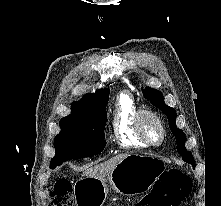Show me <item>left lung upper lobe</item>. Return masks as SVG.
<instances>
[{"instance_id":"left-lung-upper-lobe-1","label":"left lung upper lobe","mask_w":221,"mask_h":206,"mask_svg":"<svg viewBox=\"0 0 221 206\" xmlns=\"http://www.w3.org/2000/svg\"><path fill=\"white\" fill-rule=\"evenodd\" d=\"M143 90V95L147 100H150V102L159 108L163 113H165L169 120V128L171 129V132L176 138L177 143V151L182 156V159L184 162H187L195 168V162L194 158L192 157V154L185 148V135L184 132L177 128L175 121H176V111L175 109L167 106L164 103L162 93L158 90H155L150 87H146Z\"/></svg>"}]
</instances>
